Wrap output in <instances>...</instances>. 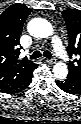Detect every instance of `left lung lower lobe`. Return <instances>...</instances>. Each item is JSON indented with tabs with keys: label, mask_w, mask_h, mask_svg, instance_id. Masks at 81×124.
<instances>
[{
	"label": "left lung lower lobe",
	"mask_w": 81,
	"mask_h": 124,
	"mask_svg": "<svg viewBox=\"0 0 81 124\" xmlns=\"http://www.w3.org/2000/svg\"><path fill=\"white\" fill-rule=\"evenodd\" d=\"M56 85L66 93L73 95L81 94V84L73 79L66 78L65 80H57Z\"/></svg>",
	"instance_id": "obj_1"
}]
</instances>
